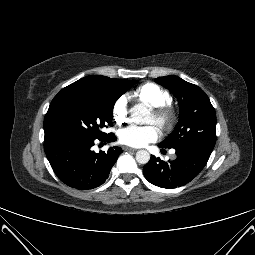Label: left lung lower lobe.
<instances>
[{"label": "left lung lower lobe", "mask_w": 255, "mask_h": 255, "mask_svg": "<svg viewBox=\"0 0 255 255\" xmlns=\"http://www.w3.org/2000/svg\"><path fill=\"white\" fill-rule=\"evenodd\" d=\"M164 148L160 144L158 145ZM177 158L173 161H162L151 156L144 166L145 178L161 188L183 186L195 178L206 165L211 153L197 149H175Z\"/></svg>", "instance_id": "left-lung-lower-lobe-1"}]
</instances>
